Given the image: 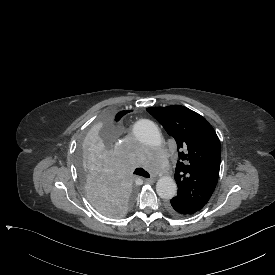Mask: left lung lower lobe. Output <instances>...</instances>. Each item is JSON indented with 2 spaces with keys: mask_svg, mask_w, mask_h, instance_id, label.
I'll return each instance as SVG.
<instances>
[{
  "mask_svg": "<svg viewBox=\"0 0 275 275\" xmlns=\"http://www.w3.org/2000/svg\"><path fill=\"white\" fill-rule=\"evenodd\" d=\"M167 209L172 216L178 217V218L189 216L198 212L196 210H193L187 207L185 204L175 202L173 199L171 200V205H169Z\"/></svg>",
  "mask_w": 275,
  "mask_h": 275,
  "instance_id": "1",
  "label": "left lung lower lobe"
}]
</instances>
